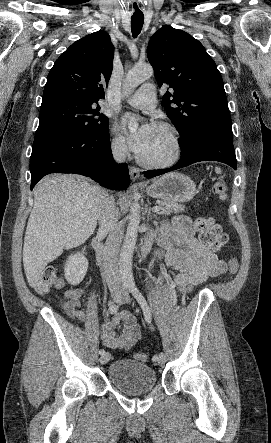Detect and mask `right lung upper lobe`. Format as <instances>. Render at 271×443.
Segmentation results:
<instances>
[{"instance_id": "right-lung-upper-lobe-1", "label": "right lung upper lobe", "mask_w": 271, "mask_h": 443, "mask_svg": "<svg viewBox=\"0 0 271 443\" xmlns=\"http://www.w3.org/2000/svg\"><path fill=\"white\" fill-rule=\"evenodd\" d=\"M114 47L109 34L98 31L73 43L56 60L44 88L42 103L75 99L98 103L112 73Z\"/></svg>"}]
</instances>
